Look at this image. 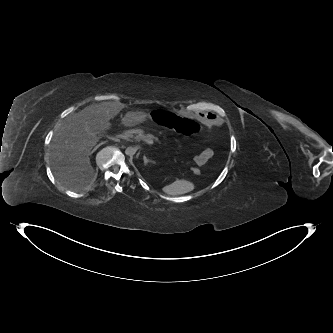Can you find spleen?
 <instances>
[{
  "mask_svg": "<svg viewBox=\"0 0 333 333\" xmlns=\"http://www.w3.org/2000/svg\"><path fill=\"white\" fill-rule=\"evenodd\" d=\"M193 189L194 184L187 180H176L162 188L163 192L172 196L182 195L191 192Z\"/></svg>",
  "mask_w": 333,
  "mask_h": 333,
  "instance_id": "1",
  "label": "spleen"
}]
</instances>
